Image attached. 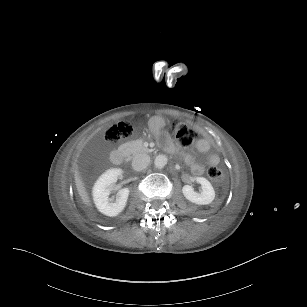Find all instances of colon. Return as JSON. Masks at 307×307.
<instances>
[{
	"label": "colon",
	"instance_id": "1",
	"mask_svg": "<svg viewBox=\"0 0 307 307\" xmlns=\"http://www.w3.org/2000/svg\"><path fill=\"white\" fill-rule=\"evenodd\" d=\"M172 132L183 147H188L195 139V132L185 122L181 120H174L172 125ZM133 132V123L130 121H121L112 126L107 134L106 140L111 143H118L129 136ZM209 178L217 183L222 182L225 179L224 171L218 166H212L208 171Z\"/></svg>",
	"mask_w": 307,
	"mask_h": 307
}]
</instances>
